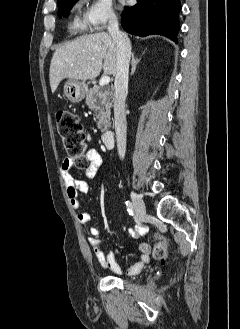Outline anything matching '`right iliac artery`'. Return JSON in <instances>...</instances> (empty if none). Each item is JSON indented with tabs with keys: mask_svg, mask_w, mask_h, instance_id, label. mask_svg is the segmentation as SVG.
Here are the masks:
<instances>
[{
	"mask_svg": "<svg viewBox=\"0 0 240 329\" xmlns=\"http://www.w3.org/2000/svg\"><path fill=\"white\" fill-rule=\"evenodd\" d=\"M126 207H127V211L130 215L133 214V205L130 201H126Z\"/></svg>",
	"mask_w": 240,
	"mask_h": 329,
	"instance_id": "right-iliac-artery-1",
	"label": "right iliac artery"
}]
</instances>
